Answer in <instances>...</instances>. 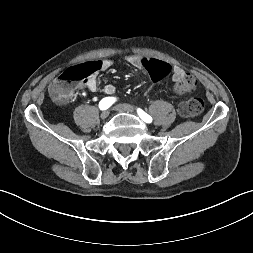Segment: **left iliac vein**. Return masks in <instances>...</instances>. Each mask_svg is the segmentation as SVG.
<instances>
[{"label": "left iliac vein", "mask_w": 253, "mask_h": 253, "mask_svg": "<svg viewBox=\"0 0 253 253\" xmlns=\"http://www.w3.org/2000/svg\"><path fill=\"white\" fill-rule=\"evenodd\" d=\"M114 110L118 112L134 113L135 108L129 104H118L114 107Z\"/></svg>", "instance_id": "1"}]
</instances>
